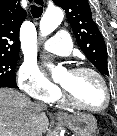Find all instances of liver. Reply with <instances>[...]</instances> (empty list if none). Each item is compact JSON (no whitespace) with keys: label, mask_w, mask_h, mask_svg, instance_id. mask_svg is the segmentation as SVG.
I'll return each mask as SVG.
<instances>
[{"label":"liver","mask_w":117,"mask_h":136,"mask_svg":"<svg viewBox=\"0 0 117 136\" xmlns=\"http://www.w3.org/2000/svg\"><path fill=\"white\" fill-rule=\"evenodd\" d=\"M47 129L46 114L28 97L0 88V136H41Z\"/></svg>","instance_id":"1"}]
</instances>
